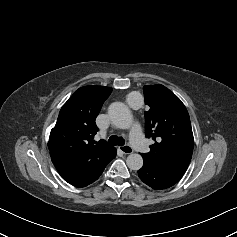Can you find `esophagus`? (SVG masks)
<instances>
[{
	"label": "esophagus",
	"mask_w": 237,
	"mask_h": 237,
	"mask_svg": "<svg viewBox=\"0 0 237 237\" xmlns=\"http://www.w3.org/2000/svg\"><path fill=\"white\" fill-rule=\"evenodd\" d=\"M119 150L126 155L133 153V149L128 145L119 147Z\"/></svg>",
	"instance_id": "esophagus-1"
}]
</instances>
